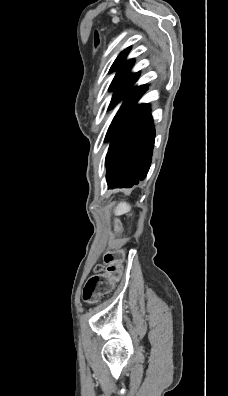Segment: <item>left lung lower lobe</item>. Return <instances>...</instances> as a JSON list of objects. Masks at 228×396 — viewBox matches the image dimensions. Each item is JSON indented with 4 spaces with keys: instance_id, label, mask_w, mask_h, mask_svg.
Segmentation results:
<instances>
[{
    "instance_id": "1",
    "label": "left lung lower lobe",
    "mask_w": 228,
    "mask_h": 396,
    "mask_svg": "<svg viewBox=\"0 0 228 396\" xmlns=\"http://www.w3.org/2000/svg\"><path fill=\"white\" fill-rule=\"evenodd\" d=\"M147 89L146 85L130 89L116 102L123 100L105 138L110 140L105 161L109 189L131 188L142 181L149 170L154 125L148 105L136 106Z\"/></svg>"
}]
</instances>
